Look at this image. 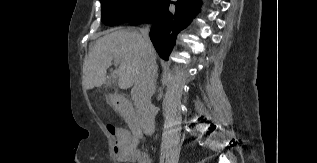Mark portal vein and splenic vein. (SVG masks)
I'll return each mask as SVG.
<instances>
[{"instance_id":"obj_1","label":"portal vein and splenic vein","mask_w":317,"mask_h":163,"mask_svg":"<svg viewBox=\"0 0 317 163\" xmlns=\"http://www.w3.org/2000/svg\"><path fill=\"white\" fill-rule=\"evenodd\" d=\"M120 61L119 59H114V64L117 67L119 65ZM119 76V69L116 68L112 73H111V78L112 80H116Z\"/></svg>"}]
</instances>
